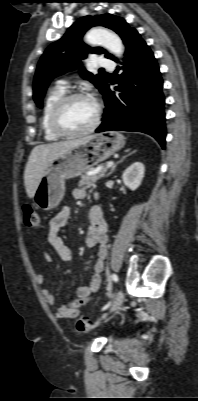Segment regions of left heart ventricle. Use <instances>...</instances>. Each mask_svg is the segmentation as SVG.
Returning a JSON list of instances; mask_svg holds the SVG:
<instances>
[{
	"label": "left heart ventricle",
	"mask_w": 198,
	"mask_h": 401,
	"mask_svg": "<svg viewBox=\"0 0 198 401\" xmlns=\"http://www.w3.org/2000/svg\"><path fill=\"white\" fill-rule=\"evenodd\" d=\"M96 115V104L91 99L81 98L71 101L62 114L65 128L77 131L89 127Z\"/></svg>",
	"instance_id": "1"
}]
</instances>
